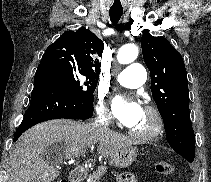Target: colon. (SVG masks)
I'll list each match as a JSON object with an SVG mask.
<instances>
[{"mask_svg":"<svg viewBox=\"0 0 211 182\" xmlns=\"http://www.w3.org/2000/svg\"><path fill=\"white\" fill-rule=\"evenodd\" d=\"M155 170L161 175H170L174 172L175 167L172 163L159 161L155 164ZM55 182H66L65 180H57Z\"/></svg>","mask_w":211,"mask_h":182,"instance_id":"1","label":"colon"}]
</instances>
